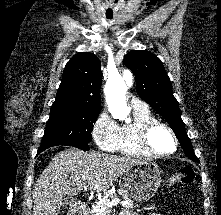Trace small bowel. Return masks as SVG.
I'll use <instances>...</instances> for the list:
<instances>
[{"label":"small bowel","instance_id":"1","mask_svg":"<svg viewBox=\"0 0 221 215\" xmlns=\"http://www.w3.org/2000/svg\"><path fill=\"white\" fill-rule=\"evenodd\" d=\"M120 215H136V214L131 211H124ZM151 215H160V214L159 213H152Z\"/></svg>","mask_w":221,"mask_h":215}]
</instances>
